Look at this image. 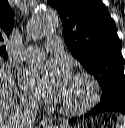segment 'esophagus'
<instances>
[{"label":"esophagus","instance_id":"1","mask_svg":"<svg viewBox=\"0 0 125 128\" xmlns=\"http://www.w3.org/2000/svg\"><path fill=\"white\" fill-rule=\"evenodd\" d=\"M41 123L43 125H52V121L48 117H43L42 120H41Z\"/></svg>","mask_w":125,"mask_h":128}]
</instances>
